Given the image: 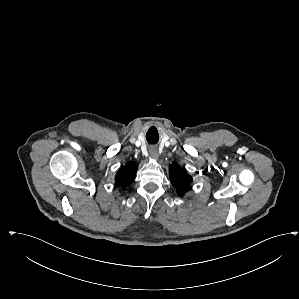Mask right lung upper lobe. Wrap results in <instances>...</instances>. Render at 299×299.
Instances as JSON below:
<instances>
[{
	"mask_svg": "<svg viewBox=\"0 0 299 299\" xmlns=\"http://www.w3.org/2000/svg\"><path fill=\"white\" fill-rule=\"evenodd\" d=\"M137 170V164L132 162L129 164H126L124 167L120 168L115 176V184L117 186H128L130 185L136 174Z\"/></svg>",
	"mask_w": 299,
	"mask_h": 299,
	"instance_id": "obj_1",
	"label": "right lung upper lobe"
}]
</instances>
